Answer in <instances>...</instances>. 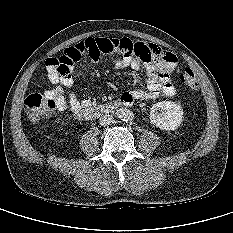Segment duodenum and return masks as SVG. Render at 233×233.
<instances>
[{
  "instance_id": "410a0bca",
  "label": "duodenum",
  "mask_w": 233,
  "mask_h": 233,
  "mask_svg": "<svg viewBox=\"0 0 233 233\" xmlns=\"http://www.w3.org/2000/svg\"><path fill=\"white\" fill-rule=\"evenodd\" d=\"M131 104H132L131 100H122V99L115 100L104 104L91 105L84 110L83 114L85 118L91 119L109 113L122 106H129Z\"/></svg>"
}]
</instances>
